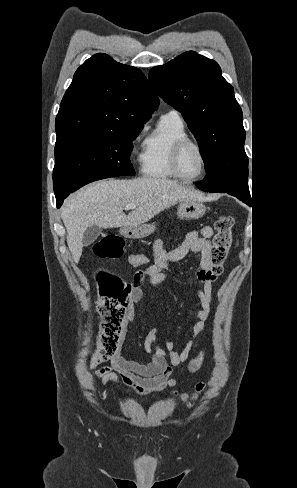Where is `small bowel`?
I'll return each instance as SVG.
<instances>
[{
  "label": "small bowel",
  "mask_w": 297,
  "mask_h": 488,
  "mask_svg": "<svg viewBox=\"0 0 297 488\" xmlns=\"http://www.w3.org/2000/svg\"><path fill=\"white\" fill-rule=\"evenodd\" d=\"M213 234L210 226H203L198 230L189 232L180 244L175 247L164 246L161 239H156L152 245V264L141 272V279L138 274L134 275L132 281V292L128 299L130 303H142L147 298L146 288H154L166 279L164 270L171 264L183 259L189 252L199 253V269L194 279L197 282V296L200 307L195 308L193 313L198 321L193 325L191 335L181 351L177 350L175 343L168 339L165 343L168 354L157 345L159 329L152 328L144 338V349L148 356L146 362L126 357L122 351L126 348V333L121 339L118 352L110 359V365L102 366L93 375L104 389H109L110 384L119 387L118 377L134 392L139 395H147L172 387L175 381L171 379L173 368L188 361L190 372H196L202 365L205 351H197L199 338L206 329L205 321L212 313V283L214 279L209 273L211 244L210 238ZM148 258L142 254H132L129 262L133 266L145 264ZM131 314L126 315V321ZM197 354L191 358L192 354ZM191 358V359H190Z\"/></svg>",
  "instance_id": "c3829d8e"
}]
</instances>
